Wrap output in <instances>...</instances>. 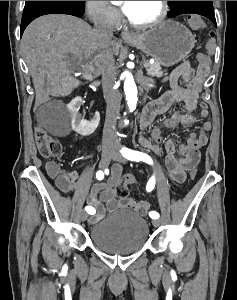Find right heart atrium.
I'll return each mask as SVG.
<instances>
[{"label":"right heart atrium","instance_id":"right-heart-atrium-1","mask_svg":"<svg viewBox=\"0 0 237 300\" xmlns=\"http://www.w3.org/2000/svg\"><path fill=\"white\" fill-rule=\"evenodd\" d=\"M85 9L88 18L95 25L115 27L120 22L119 13L106 1H86Z\"/></svg>","mask_w":237,"mask_h":300}]
</instances>
